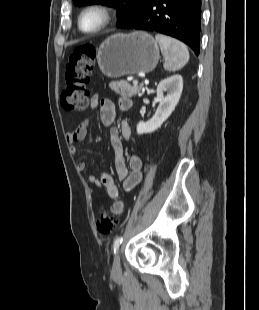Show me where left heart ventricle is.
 <instances>
[{
	"instance_id": "obj_1",
	"label": "left heart ventricle",
	"mask_w": 259,
	"mask_h": 310,
	"mask_svg": "<svg viewBox=\"0 0 259 310\" xmlns=\"http://www.w3.org/2000/svg\"><path fill=\"white\" fill-rule=\"evenodd\" d=\"M102 21V16L98 12H89L83 18V27L87 30L97 27Z\"/></svg>"
}]
</instances>
